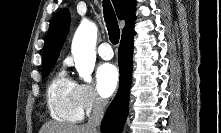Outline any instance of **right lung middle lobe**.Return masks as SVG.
<instances>
[{
  "instance_id": "dd1d6c3e",
  "label": "right lung middle lobe",
  "mask_w": 221,
  "mask_h": 133,
  "mask_svg": "<svg viewBox=\"0 0 221 133\" xmlns=\"http://www.w3.org/2000/svg\"><path fill=\"white\" fill-rule=\"evenodd\" d=\"M54 63L46 64L42 66V76L43 78L47 77L50 73L51 68L53 67Z\"/></svg>"
}]
</instances>
